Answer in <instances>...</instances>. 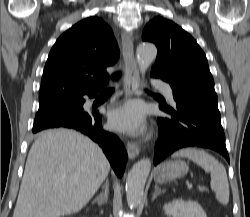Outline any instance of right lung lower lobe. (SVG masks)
<instances>
[{"label": "right lung lower lobe", "mask_w": 250, "mask_h": 217, "mask_svg": "<svg viewBox=\"0 0 250 217\" xmlns=\"http://www.w3.org/2000/svg\"><path fill=\"white\" fill-rule=\"evenodd\" d=\"M99 91V90H98ZM98 91L89 93L90 97H95ZM82 105L81 110L75 115H61L52 118L33 128V133H37L49 128H69L77 130L98 143L106 154L112 168L118 177H121L127 162V153L119 138L106 132L102 128L101 115L98 112H86L83 110L85 100L83 96L75 98Z\"/></svg>", "instance_id": "1"}]
</instances>
